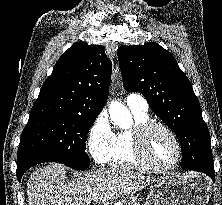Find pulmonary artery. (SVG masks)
Wrapping results in <instances>:
<instances>
[{"label":"pulmonary artery","instance_id":"1","mask_svg":"<svg viewBox=\"0 0 222 205\" xmlns=\"http://www.w3.org/2000/svg\"><path fill=\"white\" fill-rule=\"evenodd\" d=\"M126 104L130 109L138 110L141 112H147L149 108L146 99L141 95L135 93L129 94L126 97Z\"/></svg>","mask_w":222,"mask_h":205}]
</instances>
